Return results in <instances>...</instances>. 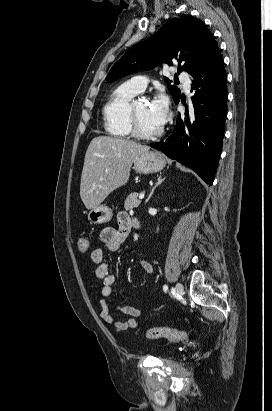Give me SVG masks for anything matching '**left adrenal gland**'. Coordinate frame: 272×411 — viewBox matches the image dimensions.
I'll return each mask as SVG.
<instances>
[{
    "label": "left adrenal gland",
    "mask_w": 272,
    "mask_h": 411,
    "mask_svg": "<svg viewBox=\"0 0 272 411\" xmlns=\"http://www.w3.org/2000/svg\"><path fill=\"white\" fill-rule=\"evenodd\" d=\"M165 180V178H162V176L160 175L157 179L156 184L152 187L151 192L146 200V202H148L150 200V198L152 197L154 190L157 188V186H159L163 181Z\"/></svg>",
    "instance_id": "left-adrenal-gland-1"
}]
</instances>
